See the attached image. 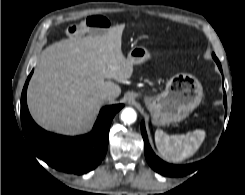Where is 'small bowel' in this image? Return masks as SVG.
Here are the masks:
<instances>
[{
    "label": "small bowel",
    "instance_id": "1",
    "mask_svg": "<svg viewBox=\"0 0 245 195\" xmlns=\"http://www.w3.org/2000/svg\"><path fill=\"white\" fill-rule=\"evenodd\" d=\"M110 27L109 20L102 15H90L78 24L67 28L66 33L71 37L79 36L88 32H102Z\"/></svg>",
    "mask_w": 245,
    "mask_h": 195
}]
</instances>
